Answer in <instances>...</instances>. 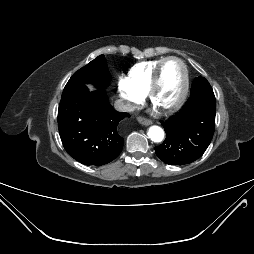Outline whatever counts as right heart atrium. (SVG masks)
<instances>
[{
	"label": "right heart atrium",
	"instance_id": "1",
	"mask_svg": "<svg viewBox=\"0 0 254 254\" xmlns=\"http://www.w3.org/2000/svg\"><path fill=\"white\" fill-rule=\"evenodd\" d=\"M119 95L128 105L138 103L142 100L143 94L136 90L128 77L120 76L118 79Z\"/></svg>",
	"mask_w": 254,
	"mask_h": 254
}]
</instances>
